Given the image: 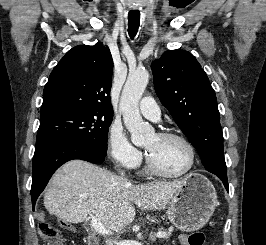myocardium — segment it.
I'll return each instance as SVG.
<instances>
[{"mask_svg":"<svg viewBox=\"0 0 266 245\" xmlns=\"http://www.w3.org/2000/svg\"><path fill=\"white\" fill-rule=\"evenodd\" d=\"M157 135L160 137L166 138V139H176V140L183 142L189 150L190 160H189V164H188L187 168L182 173L177 174V175H169V174H165V173L160 172L154 166L149 155L147 154L146 165H147L148 171L150 172L151 175H153L157 178L171 179V180L183 179L193 170L195 163H196V150H195L193 144L185 136L178 134V133L160 132Z\"/></svg>","mask_w":266,"mask_h":245,"instance_id":"f54148a6","label":"myocardium"}]
</instances>
